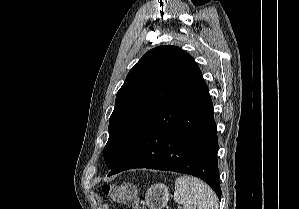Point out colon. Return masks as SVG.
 Wrapping results in <instances>:
<instances>
[{
  "mask_svg": "<svg viewBox=\"0 0 299 209\" xmlns=\"http://www.w3.org/2000/svg\"><path fill=\"white\" fill-rule=\"evenodd\" d=\"M101 193L115 202H133V209H143L137 203L136 187L131 183L104 184L101 187Z\"/></svg>",
  "mask_w": 299,
  "mask_h": 209,
  "instance_id": "colon-1",
  "label": "colon"
}]
</instances>
